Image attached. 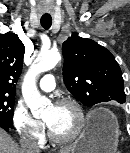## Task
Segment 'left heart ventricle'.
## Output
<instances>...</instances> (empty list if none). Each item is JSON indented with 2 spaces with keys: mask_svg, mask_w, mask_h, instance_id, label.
<instances>
[{
  "mask_svg": "<svg viewBox=\"0 0 130 153\" xmlns=\"http://www.w3.org/2000/svg\"><path fill=\"white\" fill-rule=\"evenodd\" d=\"M45 122L60 136L72 133L77 125V115L70 106H50L44 116Z\"/></svg>",
  "mask_w": 130,
  "mask_h": 153,
  "instance_id": "b2bd125f",
  "label": "left heart ventricle"
}]
</instances>
